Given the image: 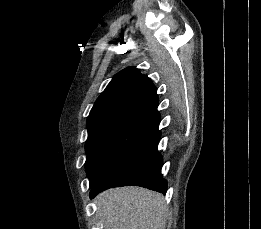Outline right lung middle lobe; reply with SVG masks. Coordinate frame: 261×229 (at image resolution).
<instances>
[{
	"instance_id": "right-lung-middle-lobe-1",
	"label": "right lung middle lobe",
	"mask_w": 261,
	"mask_h": 229,
	"mask_svg": "<svg viewBox=\"0 0 261 229\" xmlns=\"http://www.w3.org/2000/svg\"><path fill=\"white\" fill-rule=\"evenodd\" d=\"M155 130H139L133 135V145L126 149H112L86 146V171L90 187L118 159L130 154L155 134Z\"/></svg>"
}]
</instances>
